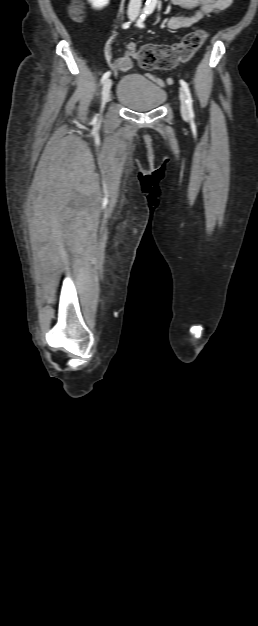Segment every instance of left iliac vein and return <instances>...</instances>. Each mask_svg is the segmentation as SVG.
Masks as SVG:
<instances>
[{
  "instance_id": "obj_1",
  "label": "left iliac vein",
  "mask_w": 258,
  "mask_h": 626,
  "mask_svg": "<svg viewBox=\"0 0 258 626\" xmlns=\"http://www.w3.org/2000/svg\"><path fill=\"white\" fill-rule=\"evenodd\" d=\"M179 98H180L181 113L183 116H188V106H187L186 95L182 89H180Z\"/></svg>"
}]
</instances>
